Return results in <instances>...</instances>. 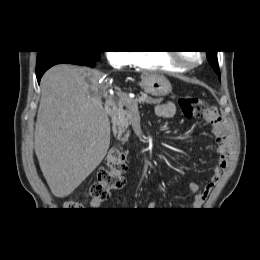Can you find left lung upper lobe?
I'll list each match as a JSON object with an SVG mask.
<instances>
[{"label": "left lung upper lobe", "mask_w": 260, "mask_h": 260, "mask_svg": "<svg viewBox=\"0 0 260 260\" xmlns=\"http://www.w3.org/2000/svg\"><path fill=\"white\" fill-rule=\"evenodd\" d=\"M208 53V60L210 65L214 68L215 72L220 75V70L218 67V61H217V57H216V51H207Z\"/></svg>", "instance_id": "1"}]
</instances>
